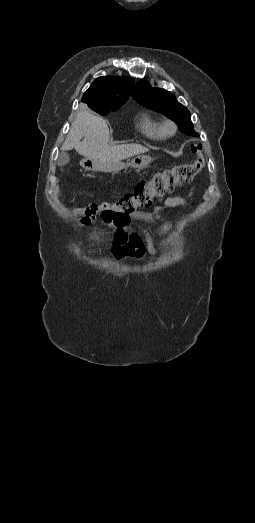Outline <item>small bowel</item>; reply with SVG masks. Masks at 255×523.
Listing matches in <instances>:
<instances>
[{"instance_id": "obj_1", "label": "small bowel", "mask_w": 255, "mask_h": 523, "mask_svg": "<svg viewBox=\"0 0 255 523\" xmlns=\"http://www.w3.org/2000/svg\"><path fill=\"white\" fill-rule=\"evenodd\" d=\"M188 205V198L169 197L165 199L161 205L156 206L152 212L136 211L131 214V218L159 226L165 219L157 214L158 210ZM128 221L129 219L124 224L115 226L116 232L110 254L118 260L124 258L142 260L146 254H149L151 257L156 256L158 249L154 245L151 233L143 227L137 229L130 228Z\"/></svg>"}]
</instances>
